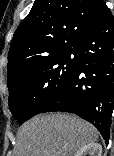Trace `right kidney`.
<instances>
[{
	"label": "right kidney",
	"mask_w": 114,
	"mask_h": 156,
	"mask_svg": "<svg viewBox=\"0 0 114 156\" xmlns=\"http://www.w3.org/2000/svg\"><path fill=\"white\" fill-rule=\"evenodd\" d=\"M102 146L96 142L88 143L81 147L74 156H101Z\"/></svg>",
	"instance_id": "1"
}]
</instances>
